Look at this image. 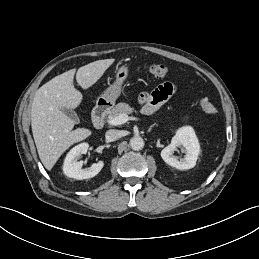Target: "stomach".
<instances>
[{
    "label": "stomach",
    "instance_id": "1",
    "mask_svg": "<svg viewBox=\"0 0 259 259\" xmlns=\"http://www.w3.org/2000/svg\"><path fill=\"white\" fill-rule=\"evenodd\" d=\"M128 67L126 65H122L118 68L116 72V79L113 84H111L103 94L97 99V106L101 107H111L114 106L117 98L121 94L122 84L128 76Z\"/></svg>",
    "mask_w": 259,
    "mask_h": 259
}]
</instances>
